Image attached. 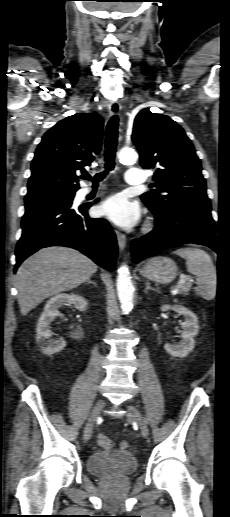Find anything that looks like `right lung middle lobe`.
<instances>
[{
	"label": "right lung middle lobe",
	"mask_w": 230,
	"mask_h": 517,
	"mask_svg": "<svg viewBox=\"0 0 230 517\" xmlns=\"http://www.w3.org/2000/svg\"><path fill=\"white\" fill-rule=\"evenodd\" d=\"M73 198H74V194H67V195L49 197V198L42 199V200H39V201H36L33 203H29V204L55 203V204L67 205V204H72ZM29 204H26V205H29Z\"/></svg>",
	"instance_id": "1"
}]
</instances>
